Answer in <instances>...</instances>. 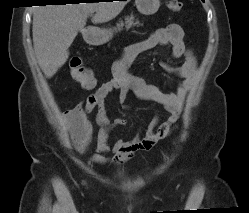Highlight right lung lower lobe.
<instances>
[{"label":"right lung lower lobe","instance_id":"98d812e1","mask_svg":"<svg viewBox=\"0 0 249 213\" xmlns=\"http://www.w3.org/2000/svg\"><path fill=\"white\" fill-rule=\"evenodd\" d=\"M66 1L68 0H47V2H52V3H57L58 5L59 4H64V3H67ZM73 1V0H71ZM110 1V0H109ZM126 1V0H125Z\"/></svg>","mask_w":249,"mask_h":213}]
</instances>
